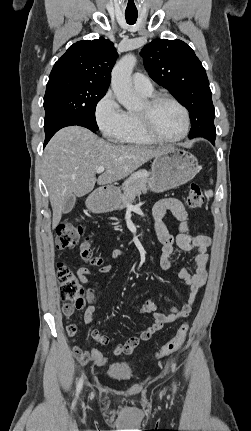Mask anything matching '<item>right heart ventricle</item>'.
<instances>
[{
  "label": "right heart ventricle",
  "mask_w": 251,
  "mask_h": 431,
  "mask_svg": "<svg viewBox=\"0 0 251 431\" xmlns=\"http://www.w3.org/2000/svg\"><path fill=\"white\" fill-rule=\"evenodd\" d=\"M143 94V93H142ZM146 96H150V94H144ZM127 122L125 129L119 135L117 140L121 143L130 144V145H152L154 141L151 140L142 130L140 125V121L138 118V113L136 112H126Z\"/></svg>",
  "instance_id": "obj_1"
}]
</instances>
